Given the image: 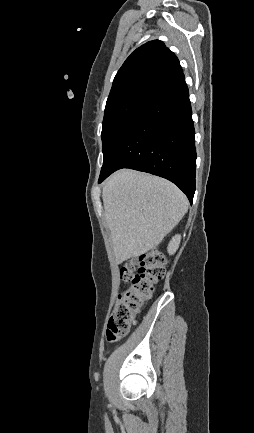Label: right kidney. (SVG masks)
Returning a JSON list of instances; mask_svg holds the SVG:
<instances>
[{
  "label": "right kidney",
  "instance_id": "obj_1",
  "mask_svg": "<svg viewBox=\"0 0 254 433\" xmlns=\"http://www.w3.org/2000/svg\"><path fill=\"white\" fill-rule=\"evenodd\" d=\"M181 241V236L180 235H175L172 240L170 241L169 245H168V253L170 255H173L177 249L179 248V244Z\"/></svg>",
  "mask_w": 254,
  "mask_h": 433
}]
</instances>
